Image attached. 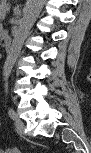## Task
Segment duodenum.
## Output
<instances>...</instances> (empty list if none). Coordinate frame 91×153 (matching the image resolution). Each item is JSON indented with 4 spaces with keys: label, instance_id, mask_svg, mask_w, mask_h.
Segmentation results:
<instances>
[{
    "label": "duodenum",
    "instance_id": "duodenum-1",
    "mask_svg": "<svg viewBox=\"0 0 91 153\" xmlns=\"http://www.w3.org/2000/svg\"><path fill=\"white\" fill-rule=\"evenodd\" d=\"M4 44L6 46V49H9L11 47L12 41L8 36H4L3 38Z\"/></svg>",
    "mask_w": 91,
    "mask_h": 153
}]
</instances>
